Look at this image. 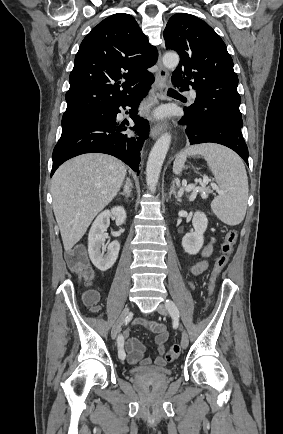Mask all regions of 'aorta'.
<instances>
[{
	"mask_svg": "<svg viewBox=\"0 0 283 434\" xmlns=\"http://www.w3.org/2000/svg\"><path fill=\"white\" fill-rule=\"evenodd\" d=\"M179 56L176 53H167L163 56V64L174 69L179 64ZM171 142V135L164 133L154 144L146 166V181L148 189L154 193L160 177L161 168Z\"/></svg>",
	"mask_w": 283,
	"mask_h": 434,
	"instance_id": "obj_1",
	"label": "aorta"
}]
</instances>
